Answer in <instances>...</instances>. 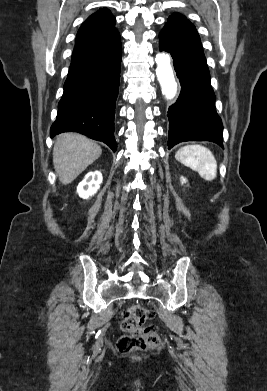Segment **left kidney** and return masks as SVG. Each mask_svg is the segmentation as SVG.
I'll use <instances>...</instances> for the list:
<instances>
[{
    "label": "left kidney",
    "instance_id": "obj_1",
    "mask_svg": "<svg viewBox=\"0 0 267 391\" xmlns=\"http://www.w3.org/2000/svg\"><path fill=\"white\" fill-rule=\"evenodd\" d=\"M181 181H182V183H185L186 182V179L185 178H181Z\"/></svg>",
    "mask_w": 267,
    "mask_h": 391
}]
</instances>
